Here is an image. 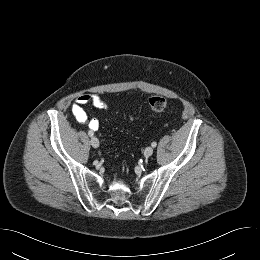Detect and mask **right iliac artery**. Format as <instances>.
<instances>
[{
  "label": "right iliac artery",
  "instance_id": "obj_1",
  "mask_svg": "<svg viewBox=\"0 0 260 260\" xmlns=\"http://www.w3.org/2000/svg\"><path fill=\"white\" fill-rule=\"evenodd\" d=\"M88 135H89L90 137H92V136H93V132H92V131H89V132H88Z\"/></svg>",
  "mask_w": 260,
  "mask_h": 260
}]
</instances>
